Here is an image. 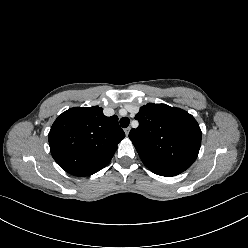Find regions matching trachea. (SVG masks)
<instances>
[{"label":"trachea","mask_w":248,"mask_h":248,"mask_svg":"<svg viewBox=\"0 0 248 248\" xmlns=\"http://www.w3.org/2000/svg\"><path fill=\"white\" fill-rule=\"evenodd\" d=\"M130 123V119L128 117H123L120 119V125L122 128H127Z\"/></svg>","instance_id":"trachea-1"}]
</instances>
